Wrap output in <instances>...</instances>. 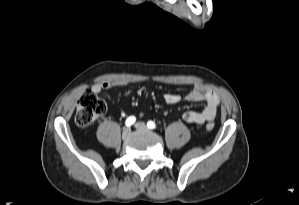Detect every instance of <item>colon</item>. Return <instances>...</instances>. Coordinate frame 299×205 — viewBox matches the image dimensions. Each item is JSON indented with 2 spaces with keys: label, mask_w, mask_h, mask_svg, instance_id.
<instances>
[{
  "label": "colon",
  "mask_w": 299,
  "mask_h": 205,
  "mask_svg": "<svg viewBox=\"0 0 299 205\" xmlns=\"http://www.w3.org/2000/svg\"><path fill=\"white\" fill-rule=\"evenodd\" d=\"M106 112V103L92 91H86L79 99L76 112V123L79 126H88ZM214 123L208 122L206 130L212 131Z\"/></svg>",
  "instance_id": "colon-1"
}]
</instances>
